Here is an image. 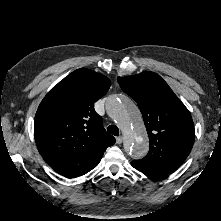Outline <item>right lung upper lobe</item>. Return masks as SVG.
Wrapping results in <instances>:
<instances>
[{"label": "right lung upper lobe", "mask_w": 221, "mask_h": 221, "mask_svg": "<svg viewBox=\"0 0 221 221\" xmlns=\"http://www.w3.org/2000/svg\"><path fill=\"white\" fill-rule=\"evenodd\" d=\"M109 87L107 77L80 68L44 97L35 116L34 136L48 165L115 143L93 107Z\"/></svg>", "instance_id": "cb5924a9"}]
</instances>
